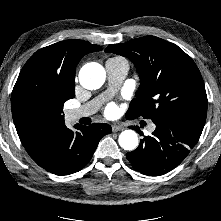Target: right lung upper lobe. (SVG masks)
Wrapping results in <instances>:
<instances>
[{
    "mask_svg": "<svg viewBox=\"0 0 221 221\" xmlns=\"http://www.w3.org/2000/svg\"><path fill=\"white\" fill-rule=\"evenodd\" d=\"M101 49L99 45L83 40L61 41L34 53L26 62L21 72H44L56 75L69 84H75V67L81 58L88 53L100 51ZM13 120L21 142L26 141L38 130L65 125L64 121L57 125H43L24 120L16 115H13Z\"/></svg>",
    "mask_w": 221,
    "mask_h": 221,
    "instance_id": "obj_1",
    "label": "right lung upper lobe"
}]
</instances>
